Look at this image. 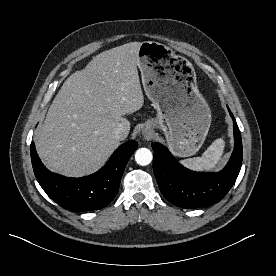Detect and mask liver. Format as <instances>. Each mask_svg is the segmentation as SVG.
<instances>
[{
	"instance_id": "6515ba94",
	"label": "liver",
	"mask_w": 276,
	"mask_h": 276,
	"mask_svg": "<svg viewBox=\"0 0 276 276\" xmlns=\"http://www.w3.org/2000/svg\"><path fill=\"white\" fill-rule=\"evenodd\" d=\"M140 45L130 42L101 52L63 83L35 139L50 171L74 178L93 174L118 146L115 128L130 129L124 116L144 104L137 70Z\"/></svg>"
}]
</instances>
